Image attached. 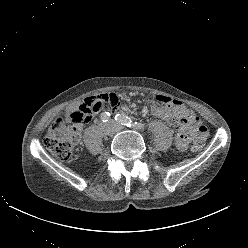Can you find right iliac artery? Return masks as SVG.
<instances>
[{"label":"right iliac artery","mask_w":248,"mask_h":248,"mask_svg":"<svg viewBox=\"0 0 248 248\" xmlns=\"http://www.w3.org/2000/svg\"><path fill=\"white\" fill-rule=\"evenodd\" d=\"M100 119H101L103 122H107V121L110 119V113H109V112H103V113L100 115Z\"/></svg>","instance_id":"obj_1"}]
</instances>
